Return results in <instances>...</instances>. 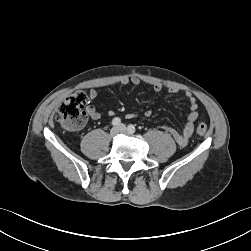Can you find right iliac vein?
Here are the masks:
<instances>
[{
  "label": "right iliac vein",
  "mask_w": 251,
  "mask_h": 251,
  "mask_svg": "<svg viewBox=\"0 0 251 251\" xmlns=\"http://www.w3.org/2000/svg\"><path fill=\"white\" fill-rule=\"evenodd\" d=\"M119 132H120L119 127H113L110 131V136L114 138L118 135Z\"/></svg>",
  "instance_id": "right-iliac-vein-1"
}]
</instances>
